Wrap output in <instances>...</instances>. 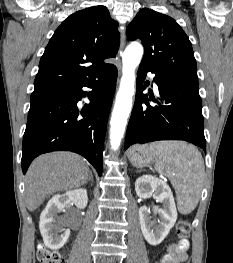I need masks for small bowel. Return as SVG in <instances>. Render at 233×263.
<instances>
[{"label":"small bowel","mask_w":233,"mask_h":263,"mask_svg":"<svg viewBox=\"0 0 233 263\" xmlns=\"http://www.w3.org/2000/svg\"><path fill=\"white\" fill-rule=\"evenodd\" d=\"M189 246L187 239L170 244L160 262L156 263H183L188 257Z\"/></svg>","instance_id":"small-bowel-1"}]
</instances>
